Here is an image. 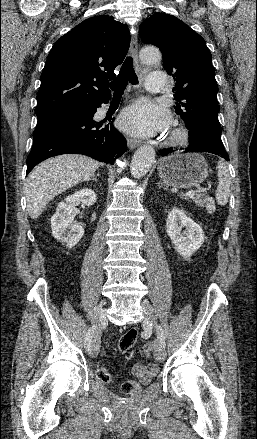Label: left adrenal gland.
Masks as SVG:
<instances>
[{
    "label": "left adrenal gland",
    "mask_w": 257,
    "mask_h": 439,
    "mask_svg": "<svg viewBox=\"0 0 257 439\" xmlns=\"http://www.w3.org/2000/svg\"><path fill=\"white\" fill-rule=\"evenodd\" d=\"M159 188H163V184H161V185L159 186Z\"/></svg>",
    "instance_id": "obj_1"
}]
</instances>
